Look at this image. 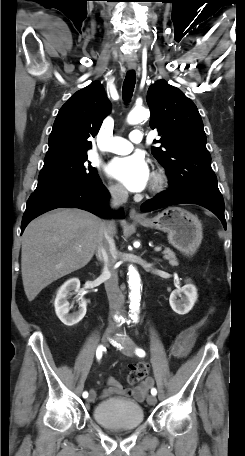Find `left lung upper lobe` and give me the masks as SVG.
<instances>
[{"instance_id":"left-lung-upper-lobe-1","label":"left lung upper lobe","mask_w":245,"mask_h":456,"mask_svg":"<svg viewBox=\"0 0 245 456\" xmlns=\"http://www.w3.org/2000/svg\"><path fill=\"white\" fill-rule=\"evenodd\" d=\"M150 127L161 138L154 140L153 156L167 170L175 189H205L220 192L206 148L203 122L195 104L181 90L159 80L149 87Z\"/></svg>"}]
</instances>
